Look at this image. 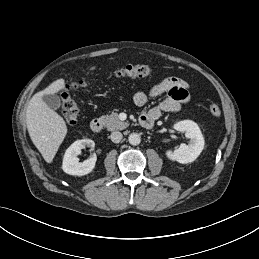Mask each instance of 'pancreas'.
Instances as JSON below:
<instances>
[{"instance_id": "obj_1", "label": "pancreas", "mask_w": 259, "mask_h": 259, "mask_svg": "<svg viewBox=\"0 0 259 259\" xmlns=\"http://www.w3.org/2000/svg\"><path fill=\"white\" fill-rule=\"evenodd\" d=\"M101 119L104 121L109 131L122 130L129 126L128 123L121 121L118 114L115 112L110 115L102 116Z\"/></svg>"}]
</instances>
